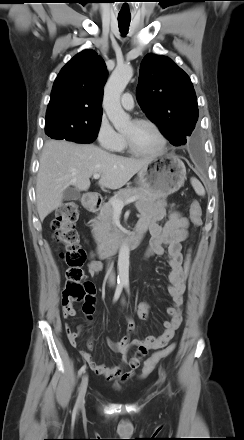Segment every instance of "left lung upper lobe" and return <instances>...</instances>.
<instances>
[{"instance_id":"left-lung-upper-lobe-1","label":"left lung upper lobe","mask_w":244,"mask_h":440,"mask_svg":"<svg viewBox=\"0 0 244 440\" xmlns=\"http://www.w3.org/2000/svg\"><path fill=\"white\" fill-rule=\"evenodd\" d=\"M137 100L174 146L187 143L198 120L196 94L189 76L171 59L147 55L141 63Z\"/></svg>"}]
</instances>
